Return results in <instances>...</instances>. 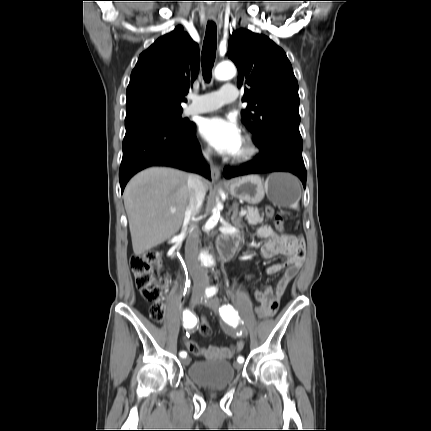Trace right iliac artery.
<instances>
[{"label":"right iliac artery","instance_id":"right-iliac-artery-1","mask_svg":"<svg viewBox=\"0 0 431 431\" xmlns=\"http://www.w3.org/2000/svg\"><path fill=\"white\" fill-rule=\"evenodd\" d=\"M206 294H208V296H210L211 294V289H207L206 290ZM196 324V319L194 317V315L191 313L190 310L186 309L183 312V325L185 328H193ZM180 357L185 358L187 356V353L185 351H181L180 352Z\"/></svg>","mask_w":431,"mask_h":431}]
</instances>
